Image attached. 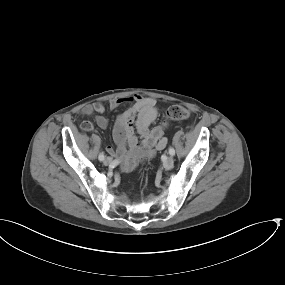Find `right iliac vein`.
I'll list each match as a JSON object with an SVG mask.
<instances>
[{
	"instance_id": "63e3f726",
	"label": "right iliac vein",
	"mask_w": 285,
	"mask_h": 285,
	"mask_svg": "<svg viewBox=\"0 0 285 285\" xmlns=\"http://www.w3.org/2000/svg\"><path fill=\"white\" fill-rule=\"evenodd\" d=\"M112 162H113V160H112V158H110V157H106V158L104 159V164H105V165H111Z\"/></svg>"
}]
</instances>
